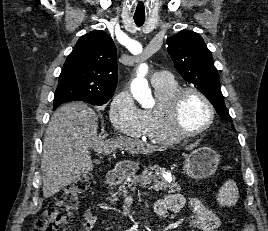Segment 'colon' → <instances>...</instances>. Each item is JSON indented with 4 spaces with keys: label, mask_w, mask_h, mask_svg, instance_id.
<instances>
[{
    "label": "colon",
    "mask_w": 268,
    "mask_h": 231,
    "mask_svg": "<svg viewBox=\"0 0 268 231\" xmlns=\"http://www.w3.org/2000/svg\"><path fill=\"white\" fill-rule=\"evenodd\" d=\"M87 186L86 178H78L59 189L54 199L49 202L46 212L36 221L34 230L58 231L59 227L65 225L72 217ZM240 231H255V225L253 222L245 223Z\"/></svg>",
    "instance_id": "colon-1"
}]
</instances>
